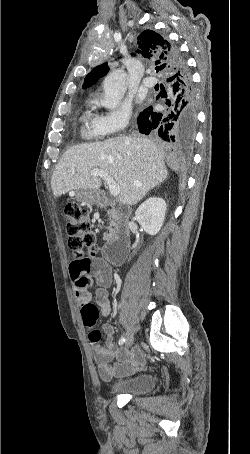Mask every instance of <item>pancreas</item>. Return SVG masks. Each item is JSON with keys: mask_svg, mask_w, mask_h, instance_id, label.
<instances>
[{"mask_svg": "<svg viewBox=\"0 0 250 454\" xmlns=\"http://www.w3.org/2000/svg\"><path fill=\"white\" fill-rule=\"evenodd\" d=\"M115 221L113 220L112 215H109V224L107 226V230L110 232L112 230V227L114 226ZM111 237V235L108 232H105L103 235V239L107 240Z\"/></svg>", "mask_w": 250, "mask_h": 454, "instance_id": "pancreas-1", "label": "pancreas"}]
</instances>
